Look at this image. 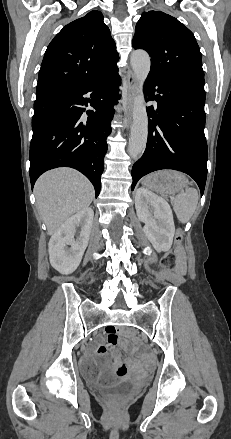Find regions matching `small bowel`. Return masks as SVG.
Instances as JSON below:
<instances>
[{
  "label": "small bowel",
  "mask_w": 231,
  "mask_h": 439,
  "mask_svg": "<svg viewBox=\"0 0 231 439\" xmlns=\"http://www.w3.org/2000/svg\"><path fill=\"white\" fill-rule=\"evenodd\" d=\"M107 343L109 346H115L118 343V337L113 330L108 331ZM106 352H107V346L101 344L96 348V350L94 351V354H93L94 358L99 359L103 362L104 367H105V371H107L108 373H112L114 368L119 369L122 366L125 367V365L122 363L120 354L118 352H115L114 353V362H113L114 367L111 368L108 365V363L105 361ZM146 371H147V369L142 367V366L136 367L137 374L145 373ZM103 380H104V378H103Z\"/></svg>",
  "instance_id": "obj_1"
}]
</instances>
